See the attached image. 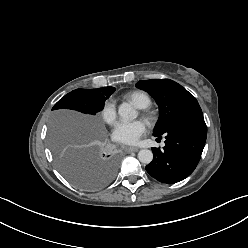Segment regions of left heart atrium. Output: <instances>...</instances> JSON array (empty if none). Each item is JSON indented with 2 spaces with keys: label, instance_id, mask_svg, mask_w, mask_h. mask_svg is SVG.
Listing matches in <instances>:
<instances>
[{
  "label": "left heart atrium",
  "instance_id": "obj_1",
  "mask_svg": "<svg viewBox=\"0 0 248 248\" xmlns=\"http://www.w3.org/2000/svg\"><path fill=\"white\" fill-rule=\"evenodd\" d=\"M147 126L141 120L126 122L121 121L116 124L112 132V138L116 142L134 145L145 134Z\"/></svg>",
  "mask_w": 248,
  "mask_h": 248
}]
</instances>
